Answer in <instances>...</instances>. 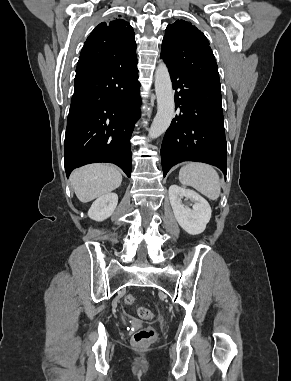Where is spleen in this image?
Masks as SVG:
<instances>
[{
	"instance_id": "1",
	"label": "spleen",
	"mask_w": 291,
	"mask_h": 381,
	"mask_svg": "<svg viewBox=\"0 0 291 381\" xmlns=\"http://www.w3.org/2000/svg\"><path fill=\"white\" fill-rule=\"evenodd\" d=\"M179 180L182 185L191 186L210 200L220 195V179L216 170L205 163H188L181 167Z\"/></svg>"
}]
</instances>
